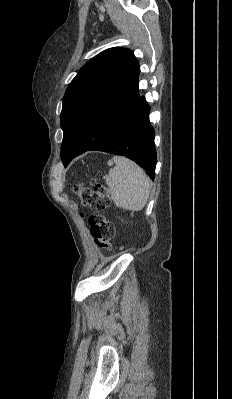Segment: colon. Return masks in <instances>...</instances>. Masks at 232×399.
Here are the masks:
<instances>
[{
	"instance_id": "colon-1",
	"label": "colon",
	"mask_w": 232,
	"mask_h": 399,
	"mask_svg": "<svg viewBox=\"0 0 232 399\" xmlns=\"http://www.w3.org/2000/svg\"><path fill=\"white\" fill-rule=\"evenodd\" d=\"M74 191L77 196H86V203L83 208L94 214V217H85L87 226L93 230L92 239L94 244L102 241V251H113L114 243L112 238H117V225H114L111 218H107V205H111V186L102 188V184L94 186V180L90 176L86 177L85 186L74 184Z\"/></svg>"
}]
</instances>
